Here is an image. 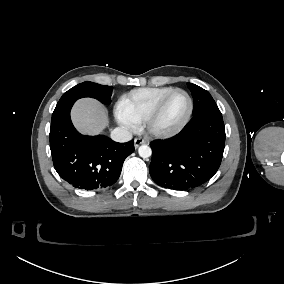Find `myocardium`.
<instances>
[{
    "instance_id": "obj_1",
    "label": "myocardium",
    "mask_w": 284,
    "mask_h": 284,
    "mask_svg": "<svg viewBox=\"0 0 284 284\" xmlns=\"http://www.w3.org/2000/svg\"><path fill=\"white\" fill-rule=\"evenodd\" d=\"M178 91L184 92L186 94L187 98H188L189 109H188V112H187L185 119L177 128H175L171 131H165V132L156 131L153 128L154 119L159 115V113L163 109L164 104L167 101V99L172 94H174L175 92H178ZM193 111H194V102H193V99H192L191 95L189 94V92L187 90L183 89V88H174L173 90L164 94L157 101V103L146 114L145 118L142 121V124H143V127H144L145 131L147 132V134L152 136V137L159 138V139L172 138V137L178 135L187 126V124L189 123V121L192 117Z\"/></svg>"
}]
</instances>
